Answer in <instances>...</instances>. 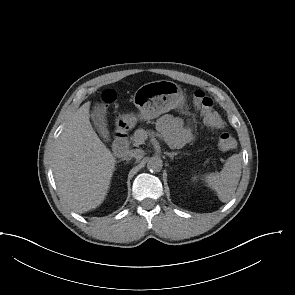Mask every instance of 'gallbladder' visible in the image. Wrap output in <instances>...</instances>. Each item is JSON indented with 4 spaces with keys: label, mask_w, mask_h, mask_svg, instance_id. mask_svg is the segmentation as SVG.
I'll return each instance as SVG.
<instances>
[{
    "label": "gallbladder",
    "mask_w": 295,
    "mask_h": 295,
    "mask_svg": "<svg viewBox=\"0 0 295 295\" xmlns=\"http://www.w3.org/2000/svg\"><path fill=\"white\" fill-rule=\"evenodd\" d=\"M91 120L98 132L106 136L108 134L107 125H106V111L104 107L100 104H96L91 111Z\"/></svg>",
    "instance_id": "1"
}]
</instances>
